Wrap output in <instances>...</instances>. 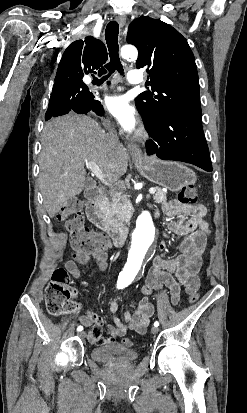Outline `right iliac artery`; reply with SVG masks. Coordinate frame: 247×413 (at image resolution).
Instances as JSON below:
<instances>
[{"mask_svg": "<svg viewBox=\"0 0 247 413\" xmlns=\"http://www.w3.org/2000/svg\"><path fill=\"white\" fill-rule=\"evenodd\" d=\"M117 288H118V289H121L122 287L119 286V285H117ZM82 330H83V327H82V326H79V327L77 328V331H82Z\"/></svg>", "mask_w": 247, "mask_h": 413, "instance_id": "obj_1", "label": "right iliac artery"}]
</instances>
